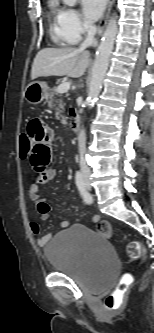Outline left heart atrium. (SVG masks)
<instances>
[{
	"label": "left heart atrium",
	"mask_w": 154,
	"mask_h": 333,
	"mask_svg": "<svg viewBox=\"0 0 154 333\" xmlns=\"http://www.w3.org/2000/svg\"><path fill=\"white\" fill-rule=\"evenodd\" d=\"M107 0H81L85 18L94 22L98 20L105 8Z\"/></svg>",
	"instance_id": "obj_1"
}]
</instances>
